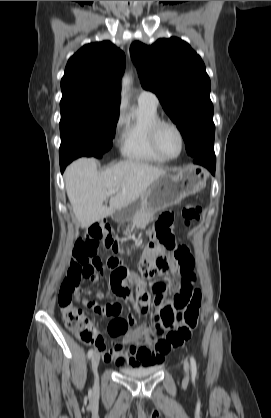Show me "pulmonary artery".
I'll return each instance as SVG.
<instances>
[{"label":"pulmonary artery","mask_w":271,"mask_h":418,"mask_svg":"<svg viewBox=\"0 0 271 418\" xmlns=\"http://www.w3.org/2000/svg\"><path fill=\"white\" fill-rule=\"evenodd\" d=\"M138 103H145L157 107L159 104V100L153 92L148 90H142L138 96Z\"/></svg>","instance_id":"obj_1"}]
</instances>
